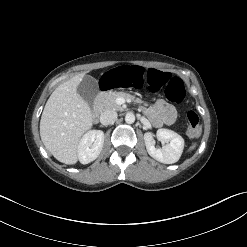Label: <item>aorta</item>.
I'll list each match as a JSON object with an SVG mask.
<instances>
[{"label": "aorta", "mask_w": 247, "mask_h": 247, "mask_svg": "<svg viewBox=\"0 0 247 247\" xmlns=\"http://www.w3.org/2000/svg\"><path fill=\"white\" fill-rule=\"evenodd\" d=\"M125 121L128 124H132L135 121V115L133 113H127L125 116Z\"/></svg>", "instance_id": "obj_1"}]
</instances>
